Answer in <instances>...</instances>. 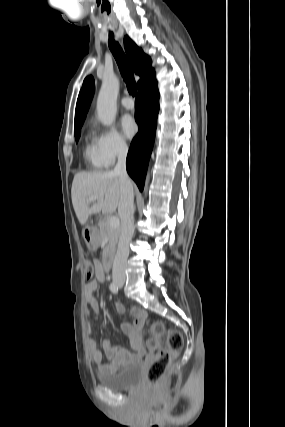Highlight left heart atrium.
Listing matches in <instances>:
<instances>
[{
  "label": "left heart atrium",
  "mask_w": 285,
  "mask_h": 427,
  "mask_svg": "<svg viewBox=\"0 0 285 427\" xmlns=\"http://www.w3.org/2000/svg\"><path fill=\"white\" fill-rule=\"evenodd\" d=\"M121 126L125 136L128 138H132L137 132V124L129 115L123 117Z\"/></svg>",
  "instance_id": "1"
}]
</instances>
